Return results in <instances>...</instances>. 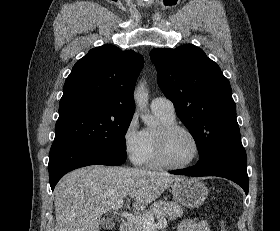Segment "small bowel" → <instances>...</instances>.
Instances as JSON below:
<instances>
[{
    "label": "small bowel",
    "instance_id": "small-bowel-1",
    "mask_svg": "<svg viewBox=\"0 0 280 231\" xmlns=\"http://www.w3.org/2000/svg\"><path fill=\"white\" fill-rule=\"evenodd\" d=\"M178 231H209V226L204 220L184 219L179 224Z\"/></svg>",
    "mask_w": 280,
    "mask_h": 231
}]
</instances>
